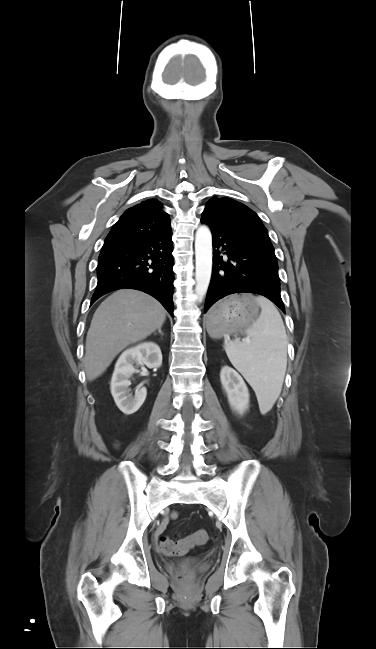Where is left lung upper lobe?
<instances>
[{
	"label": "left lung upper lobe",
	"instance_id": "left-lung-upper-lobe-1",
	"mask_svg": "<svg viewBox=\"0 0 376 649\" xmlns=\"http://www.w3.org/2000/svg\"><path fill=\"white\" fill-rule=\"evenodd\" d=\"M203 216L274 250L258 215L242 203L226 197H214L208 201Z\"/></svg>",
	"mask_w": 376,
	"mask_h": 649
}]
</instances>
